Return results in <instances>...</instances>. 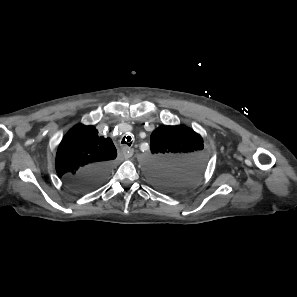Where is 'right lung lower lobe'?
Returning <instances> with one entry per match:
<instances>
[{
	"label": "right lung lower lobe",
	"mask_w": 297,
	"mask_h": 297,
	"mask_svg": "<svg viewBox=\"0 0 297 297\" xmlns=\"http://www.w3.org/2000/svg\"><path fill=\"white\" fill-rule=\"evenodd\" d=\"M111 164L101 163L83 169L67 179L78 192H87L101 185L108 177Z\"/></svg>",
	"instance_id": "obj_1"
}]
</instances>
